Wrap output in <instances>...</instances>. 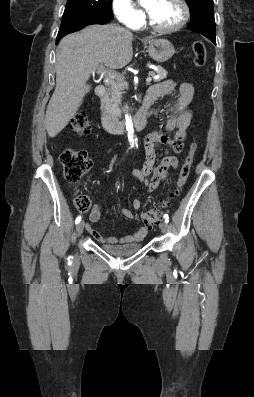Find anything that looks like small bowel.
I'll return each mask as SVG.
<instances>
[{"label": "small bowel", "mask_w": 254, "mask_h": 397, "mask_svg": "<svg viewBox=\"0 0 254 397\" xmlns=\"http://www.w3.org/2000/svg\"><path fill=\"white\" fill-rule=\"evenodd\" d=\"M175 92L177 93L176 101L165 125V129L168 132L175 131L174 136L170 138L157 131L149 133L144 141V165L142 169L133 170L131 172V175L137 178L149 191L155 190L166 180L169 170L178 166L176 154H180L183 150V141L186 138V131L193 117L192 112L188 110L187 107L192 101L194 88L188 82L177 84L174 80L169 79L151 86L147 93V97L152 103L160 96L171 95ZM157 147L164 150L165 156L159 165L155 166ZM132 205L136 211L140 210L141 201L139 198H134ZM117 211L127 219L134 218V214L129 209L119 208ZM100 216V205L96 203L91 208L89 219L91 222H97ZM86 230L96 241L107 245L139 242L143 240L147 234V229L145 227L139 228L136 233L124 238L105 237L90 225L86 226Z\"/></svg>", "instance_id": "obj_1"}]
</instances>
